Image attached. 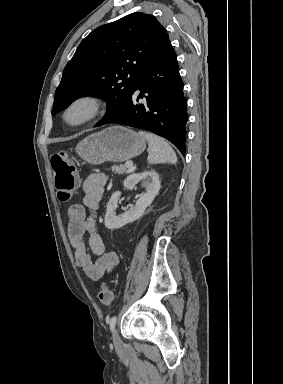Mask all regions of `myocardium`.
<instances>
[{"mask_svg": "<svg viewBox=\"0 0 283 384\" xmlns=\"http://www.w3.org/2000/svg\"><path fill=\"white\" fill-rule=\"evenodd\" d=\"M78 107H83L85 109V115L78 121H70L68 116L71 111ZM103 109V101L91 94H84L73 98L64 108L62 112V120L64 124L68 127L78 128L82 127L96 117H98Z\"/></svg>", "mask_w": 283, "mask_h": 384, "instance_id": "myocardium-1", "label": "myocardium"}]
</instances>
